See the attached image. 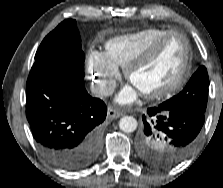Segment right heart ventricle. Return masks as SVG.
Listing matches in <instances>:
<instances>
[{
    "label": "right heart ventricle",
    "instance_id": "e07e8e85",
    "mask_svg": "<svg viewBox=\"0 0 223 188\" xmlns=\"http://www.w3.org/2000/svg\"><path fill=\"white\" fill-rule=\"evenodd\" d=\"M170 31L162 28H146L134 33L109 39L104 45V54L117 68H124L152 41Z\"/></svg>",
    "mask_w": 223,
    "mask_h": 188
}]
</instances>
